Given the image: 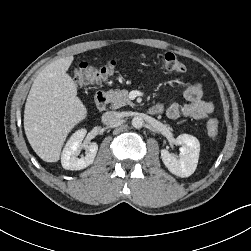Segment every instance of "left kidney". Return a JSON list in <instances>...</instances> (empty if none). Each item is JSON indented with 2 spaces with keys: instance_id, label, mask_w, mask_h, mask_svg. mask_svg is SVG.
<instances>
[{
  "instance_id": "5707ae66",
  "label": "left kidney",
  "mask_w": 251,
  "mask_h": 251,
  "mask_svg": "<svg viewBox=\"0 0 251 251\" xmlns=\"http://www.w3.org/2000/svg\"><path fill=\"white\" fill-rule=\"evenodd\" d=\"M176 143L181 145L179 158L169 151L161 150V159L167 169L179 177H189L197 167L200 143L198 139L189 134H181L176 138Z\"/></svg>"
}]
</instances>
